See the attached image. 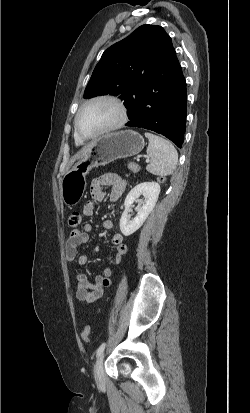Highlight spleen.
Returning a JSON list of instances; mask_svg holds the SVG:
<instances>
[{
	"label": "spleen",
	"mask_w": 250,
	"mask_h": 413,
	"mask_svg": "<svg viewBox=\"0 0 250 413\" xmlns=\"http://www.w3.org/2000/svg\"><path fill=\"white\" fill-rule=\"evenodd\" d=\"M145 137L149 140L147 154L151 158L146 170L158 176L172 174L178 162V153L173 144L149 132L145 133Z\"/></svg>",
	"instance_id": "obj_1"
}]
</instances>
